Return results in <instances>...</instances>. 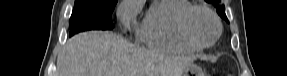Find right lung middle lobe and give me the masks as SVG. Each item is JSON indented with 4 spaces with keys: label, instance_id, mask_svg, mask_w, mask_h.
<instances>
[{
    "label": "right lung middle lobe",
    "instance_id": "right-lung-middle-lobe-1",
    "mask_svg": "<svg viewBox=\"0 0 287 76\" xmlns=\"http://www.w3.org/2000/svg\"><path fill=\"white\" fill-rule=\"evenodd\" d=\"M118 0H76L69 36L88 30H111V14Z\"/></svg>",
    "mask_w": 287,
    "mask_h": 76
}]
</instances>
